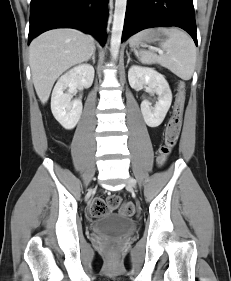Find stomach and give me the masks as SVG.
Segmentation results:
<instances>
[{
    "instance_id": "obj_1",
    "label": "stomach",
    "mask_w": 231,
    "mask_h": 281,
    "mask_svg": "<svg viewBox=\"0 0 231 281\" xmlns=\"http://www.w3.org/2000/svg\"><path fill=\"white\" fill-rule=\"evenodd\" d=\"M138 37L137 44H147L156 41L159 35L155 32H141L136 35Z\"/></svg>"
}]
</instances>
